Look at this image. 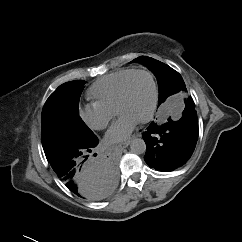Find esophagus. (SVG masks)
<instances>
[{"mask_svg":"<svg viewBox=\"0 0 242 242\" xmlns=\"http://www.w3.org/2000/svg\"><path fill=\"white\" fill-rule=\"evenodd\" d=\"M130 142H131L130 140H128L126 142H123V143L119 144V147L121 149H124V148H126V147H128L130 145Z\"/></svg>","mask_w":242,"mask_h":242,"instance_id":"esophagus-1","label":"esophagus"}]
</instances>
